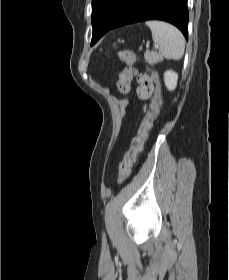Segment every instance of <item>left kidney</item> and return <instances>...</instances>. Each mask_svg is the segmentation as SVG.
I'll use <instances>...</instances> for the list:
<instances>
[{
  "label": "left kidney",
  "instance_id": "obj_1",
  "mask_svg": "<svg viewBox=\"0 0 229 280\" xmlns=\"http://www.w3.org/2000/svg\"><path fill=\"white\" fill-rule=\"evenodd\" d=\"M178 74L168 70L164 73V82L168 90L173 91L177 86Z\"/></svg>",
  "mask_w": 229,
  "mask_h": 280
}]
</instances>
